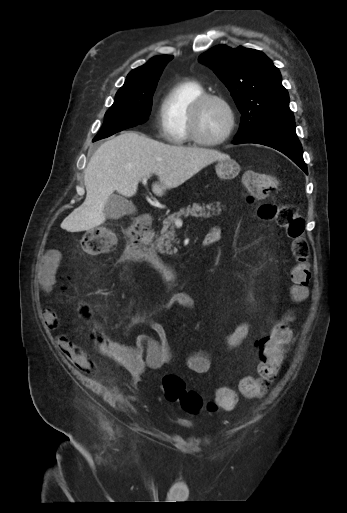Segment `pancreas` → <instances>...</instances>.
<instances>
[{"mask_svg": "<svg viewBox=\"0 0 347 513\" xmlns=\"http://www.w3.org/2000/svg\"><path fill=\"white\" fill-rule=\"evenodd\" d=\"M214 204L215 203H210L207 205L202 204V206H201L199 203H193L192 205L183 207L179 211L174 212V213L170 214L167 218L163 219V227L160 231V236H158L155 241L158 251L160 253H166L169 255L173 254V251L171 250V247H172L171 242L174 241L175 237H176L174 220L177 217L193 216V217L209 218L212 215H215L216 213L220 214L221 207H220L219 203H217V205H214ZM211 211H212V215L210 213Z\"/></svg>", "mask_w": 347, "mask_h": 513, "instance_id": "pancreas-1", "label": "pancreas"}]
</instances>
